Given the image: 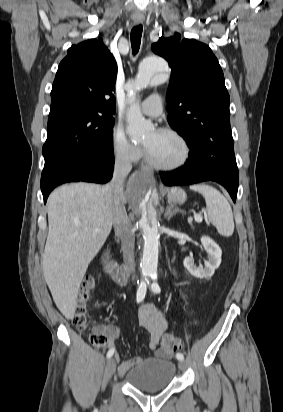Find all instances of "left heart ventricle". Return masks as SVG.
<instances>
[{"label":"left heart ventricle","instance_id":"b2bd125f","mask_svg":"<svg viewBox=\"0 0 283 412\" xmlns=\"http://www.w3.org/2000/svg\"><path fill=\"white\" fill-rule=\"evenodd\" d=\"M151 158L158 164L172 165L183 157L181 143L172 135L152 131L143 141Z\"/></svg>","mask_w":283,"mask_h":412}]
</instances>
